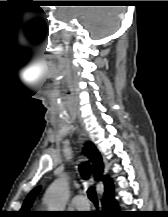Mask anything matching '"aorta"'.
Wrapping results in <instances>:
<instances>
[{"label":"aorta","instance_id":"obj_1","mask_svg":"<svg viewBox=\"0 0 168 217\" xmlns=\"http://www.w3.org/2000/svg\"><path fill=\"white\" fill-rule=\"evenodd\" d=\"M69 184L66 177L55 180L47 189L44 202L49 211H64L68 199Z\"/></svg>","mask_w":168,"mask_h":217}]
</instances>
